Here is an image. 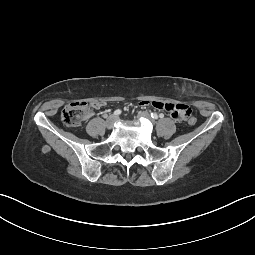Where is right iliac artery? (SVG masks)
<instances>
[{
  "instance_id": "obj_1",
  "label": "right iliac artery",
  "mask_w": 255,
  "mask_h": 255,
  "mask_svg": "<svg viewBox=\"0 0 255 255\" xmlns=\"http://www.w3.org/2000/svg\"><path fill=\"white\" fill-rule=\"evenodd\" d=\"M120 114H121V110L120 109H117V110L114 111V115L115 116H118Z\"/></svg>"
}]
</instances>
